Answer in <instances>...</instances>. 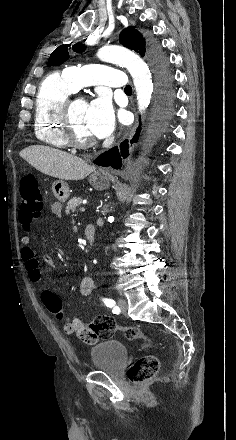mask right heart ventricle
<instances>
[{
	"label": "right heart ventricle",
	"instance_id": "1",
	"mask_svg": "<svg viewBox=\"0 0 236 440\" xmlns=\"http://www.w3.org/2000/svg\"><path fill=\"white\" fill-rule=\"evenodd\" d=\"M64 74L53 73L41 83L34 110V132L38 140L57 149H65L68 143L62 134L59 112L63 102L73 93Z\"/></svg>",
	"mask_w": 236,
	"mask_h": 440
}]
</instances>
